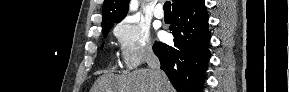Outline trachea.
I'll return each mask as SVG.
<instances>
[{"mask_svg":"<svg viewBox=\"0 0 289 92\" xmlns=\"http://www.w3.org/2000/svg\"><path fill=\"white\" fill-rule=\"evenodd\" d=\"M164 12H166V13L171 12V3L169 1L164 3Z\"/></svg>","mask_w":289,"mask_h":92,"instance_id":"3493384b","label":"trachea"}]
</instances>
